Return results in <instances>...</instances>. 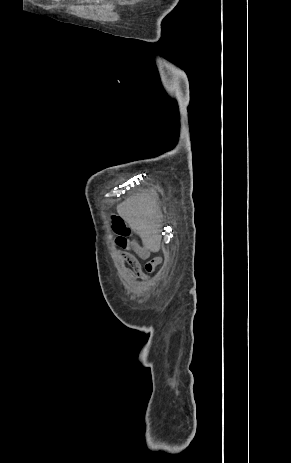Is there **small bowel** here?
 <instances>
[{
	"label": "small bowel",
	"mask_w": 291,
	"mask_h": 463,
	"mask_svg": "<svg viewBox=\"0 0 291 463\" xmlns=\"http://www.w3.org/2000/svg\"><path fill=\"white\" fill-rule=\"evenodd\" d=\"M115 242L121 250V259L128 264V267H125L126 273L133 280H148L149 276L142 271L141 264L137 257L142 259L148 258L152 247L140 246L137 242L130 238V234L122 235L120 237L116 236ZM160 261V258H154L153 260L149 261L145 266L146 271L152 272L156 265L160 263ZM148 265H150L149 269L147 268Z\"/></svg>",
	"instance_id": "obj_1"
}]
</instances>
